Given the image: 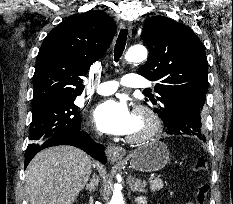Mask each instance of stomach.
Listing matches in <instances>:
<instances>
[{"mask_svg":"<svg viewBox=\"0 0 233 204\" xmlns=\"http://www.w3.org/2000/svg\"><path fill=\"white\" fill-rule=\"evenodd\" d=\"M130 158V168L143 172H155L166 166L169 161V151L164 143L153 140L136 149Z\"/></svg>","mask_w":233,"mask_h":204,"instance_id":"1","label":"stomach"}]
</instances>
